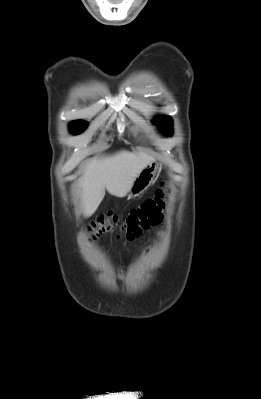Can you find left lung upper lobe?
<instances>
[{
  "mask_svg": "<svg viewBox=\"0 0 261 399\" xmlns=\"http://www.w3.org/2000/svg\"><path fill=\"white\" fill-rule=\"evenodd\" d=\"M154 124H157L159 129L167 136L172 135V120L169 116H157L152 121Z\"/></svg>",
  "mask_w": 261,
  "mask_h": 399,
  "instance_id": "1",
  "label": "left lung upper lobe"
}]
</instances>
